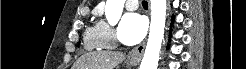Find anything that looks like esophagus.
Returning a JSON list of instances; mask_svg holds the SVG:
<instances>
[{
    "mask_svg": "<svg viewBox=\"0 0 246 69\" xmlns=\"http://www.w3.org/2000/svg\"><path fill=\"white\" fill-rule=\"evenodd\" d=\"M144 49H145V43H143V44H141V45H139V46L134 47V48L129 52L128 60H129L130 62L139 63L140 60H141V58H142Z\"/></svg>",
    "mask_w": 246,
    "mask_h": 69,
    "instance_id": "obj_1",
    "label": "esophagus"
}]
</instances>
